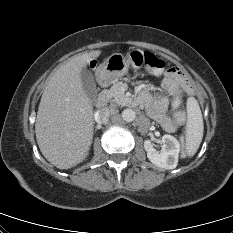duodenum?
<instances>
[{
    "label": "duodenum",
    "mask_w": 233,
    "mask_h": 233,
    "mask_svg": "<svg viewBox=\"0 0 233 233\" xmlns=\"http://www.w3.org/2000/svg\"><path fill=\"white\" fill-rule=\"evenodd\" d=\"M106 84H107L106 79L102 78L101 85L104 87V86H106ZM107 101H108V95L105 92H101L98 95L97 100H96L97 108L101 109V108L105 107L107 104Z\"/></svg>",
    "instance_id": "410a0bca"
}]
</instances>
